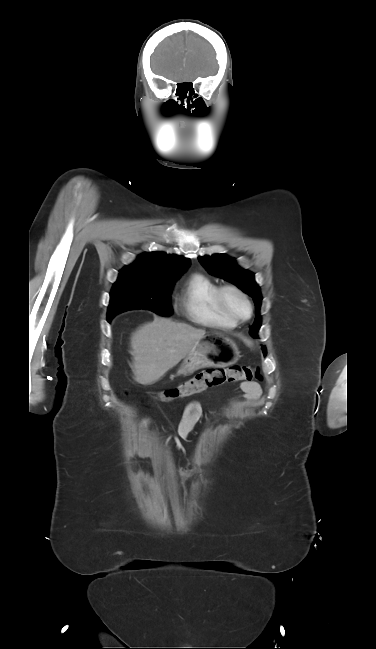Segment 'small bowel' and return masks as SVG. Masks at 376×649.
Listing matches in <instances>:
<instances>
[{
  "mask_svg": "<svg viewBox=\"0 0 376 649\" xmlns=\"http://www.w3.org/2000/svg\"><path fill=\"white\" fill-rule=\"evenodd\" d=\"M240 388L244 394L245 406H253L261 397V386L257 382H243ZM201 415L202 407L198 401L193 400L186 404L177 430L178 436L181 439L186 440L189 438L194 425L199 421ZM148 422L149 420L145 419L142 425H147Z\"/></svg>",
  "mask_w": 376,
  "mask_h": 649,
  "instance_id": "1",
  "label": "small bowel"
}]
</instances>
